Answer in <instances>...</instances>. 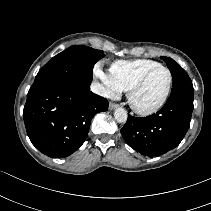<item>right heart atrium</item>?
<instances>
[{"instance_id":"obj_1","label":"right heart atrium","mask_w":211,"mask_h":211,"mask_svg":"<svg viewBox=\"0 0 211 211\" xmlns=\"http://www.w3.org/2000/svg\"><path fill=\"white\" fill-rule=\"evenodd\" d=\"M95 76L102 83V93L107 97H117L121 90L117 87L113 81L110 73L105 72L100 66H96L94 69Z\"/></svg>"}]
</instances>
